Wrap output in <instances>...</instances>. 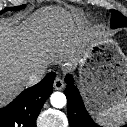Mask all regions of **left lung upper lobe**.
I'll use <instances>...</instances> for the list:
<instances>
[{
	"mask_svg": "<svg viewBox=\"0 0 127 127\" xmlns=\"http://www.w3.org/2000/svg\"><path fill=\"white\" fill-rule=\"evenodd\" d=\"M111 28L127 27V18L116 10H111Z\"/></svg>",
	"mask_w": 127,
	"mask_h": 127,
	"instance_id": "obj_1",
	"label": "left lung upper lobe"
}]
</instances>
